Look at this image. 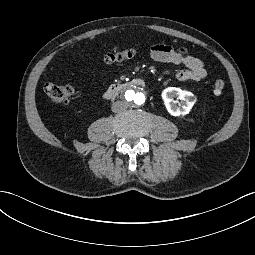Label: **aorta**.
<instances>
[{
	"label": "aorta",
	"mask_w": 255,
	"mask_h": 255,
	"mask_svg": "<svg viewBox=\"0 0 255 255\" xmlns=\"http://www.w3.org/2000/svg\"><path fill=\"white\" fill-rule=\"evenodd\" d=\"M125 101L132 107H139L145 103V95L139 87H132L124 94Z\"/></svg>",
	"instance_id": "aorta-1"
}]
</instances>
